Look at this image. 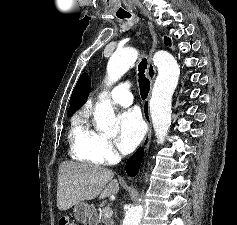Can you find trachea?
I'll return each mask as SVG.
<instances>
[{
	"instance_id": "3493384b",
	"label": "trachea",
	"mask_w": 237,
	"mask_h": 225,
	"mask_svg": "<svg viewBox=\"0 0 237 225\" xmlns=\"http://www.w3.org/2000/svg\"><path fill=\"white\" fill-rule=\"evenodd\" d=\"M130 18L131 15L127 14L122 16V18ZM147 69V60L143 59L138 65V76H139V88L142 99H146L150 90V81L145 77V70Z\"/></svg>"
}]
</instances>
